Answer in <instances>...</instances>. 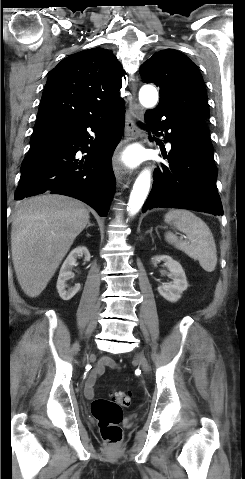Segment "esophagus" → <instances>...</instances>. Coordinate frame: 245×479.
I'll list each match as a JSON object with an SVG mask.
<instances>
[{"label": "esophagus", "instance_id": "1", "mask_svg": "<svg viewBox=\"0 0 245 479\" xmlns=\"http://www.w3.org/2000/svg\"><path fill=\"white\" fill-rule=\"evenodd\" d=\"M136 91V83L132 84V93L133 96L135 95ZM143 118V109L142 107L136 103L133 99L130 103L129 110L126 114V126H125V140L123 142V146L127 143L137 140L142 137L141 130L137 125V121L142 120ZM122 146L116 150L113 158V170L118 179L124 177L129 170L123 165L121 162Z\"/></svg>", "mask_w": 245, "mask_h": 479}]
</instances>
